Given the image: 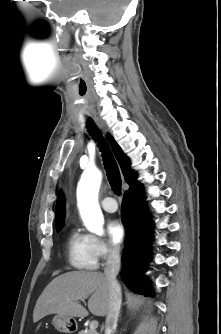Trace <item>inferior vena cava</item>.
Instances as JSON below:
<instances>
[{"mask_svg":"<svg viewBox=\"0 0 221 334\" xmlns=\"http://www.w3.org/2000/svg\"><path fill=\"white\" fill-rule=\"evenodd\" d=\"M108 258L104 267V275L109 282V310L105 321V333L111 334L117 327L121 307V287L116 279L120 269V254L117 247H110Z\"/></svg>","mask_w":221,"mask_h":334,"instance_id":"1","label":"inferior vena cava"}]
</instances>
